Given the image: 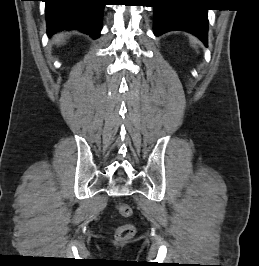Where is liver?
<instances>
[{"mask_svg":"<svg viewBox=\"0 0 259 266\" xmlns=\"http://www.w3.org/2000/svg\"><path fill=\"white\" fill-rule=\"evenodd\" d=\"M54 41H55L58 45H60V44H62V43L64 42V40L62 39V35H56V36L54 37Z\"/></svg>","mask_w":259,"mask_h":266,"instance_id":"1","label":"liver"}]
</instances>
